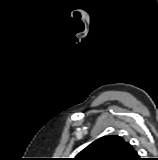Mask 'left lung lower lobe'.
<instances>
[{
	"mask_svg": "<svg viewBox=\"0 0 158 160\" xmlns=\"http://www.w3.org/2000/svg\"><path fill=\"white\" fill-rule=\"evenodd\" d=\"M132 160H141V158H139L138 154L136 153Z\"/></svg>",
	"mask_w": 158,
	"mask_h": 160,
	"instance_id": "left-lung-lower-lobe-1",
	"label": "left lung lower lobe"
}]
</instances>
